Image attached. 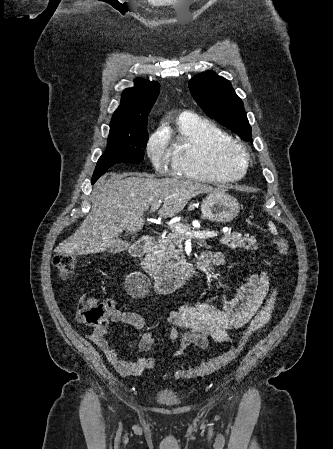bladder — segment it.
Here are the masks:
<instances>
[{
  "label": "bladder",
  "instance_id": "obj_1",
  "mask_svg": "<svg viewBox=\"0 0 333 449\" xmlns=\"http://www.w3.org/2000/svg\"><path fill=\"white\" fill-rule=\"evenodd\" d=\"M156 401L162 406H174L180 401L177 392L171 388H162L156 394Z\"/></svg>",
  "mask_w": 333,
  "mask_h": 449
}]
</instances>
